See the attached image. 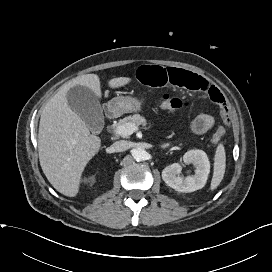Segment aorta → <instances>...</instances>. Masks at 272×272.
Returning a JSON list of instances; mask_svg holds the SVG:
<instances>
[{
    "label": "aorta",
    "instance_id": "1",
    "mask_svg": "<svg viewBox=\"0 0 272 272\" xmlns=\"http://www.w3.org/2000/svg\"><path fill=\"white\" fill-rule=\"evenodd\" d=\"M132 156L138 162L144 161L147 158V152L142 148H136L132 151Z\"/></svg>",
    "mask_w": 272,
    "mask_h": 272
}]
</instances>
